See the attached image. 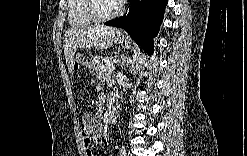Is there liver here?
<instances>
[{"label": "liver", "instance_id": "6515ba94", "mask_svg": "<svg viewBox=\"0 0 247 156\" xmlns=\"http://www.w3.org/2000/svg\"><path fill=\"white\" fill-rule=\"evenodd\" d=\"M116 29L103 25L69 29L64 35V55L68 71L74 66V55L79 47L86 49H106L112 46Z\"/></svg>", "mask_w": 247, "mask_h": 156}]
</instances>
